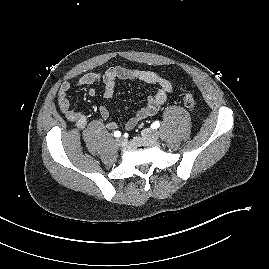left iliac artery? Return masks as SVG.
<instances>
[{"label": "left iliac artery", "mask_w": 269, "mask_h": 269, "mask_svg": "<svg viewBox=\"0 0 269 269\" xmlns=\"http://www.w3.org/2000/svg\"><path fill=\"white\" fill-rule=\"evenodd\" d=\"M160 126V122L159 121H155V122H153V124H152V128L153 129H156V128H158Z\"/></svg>", "instance_id": "obj_1"}]
</instances>
